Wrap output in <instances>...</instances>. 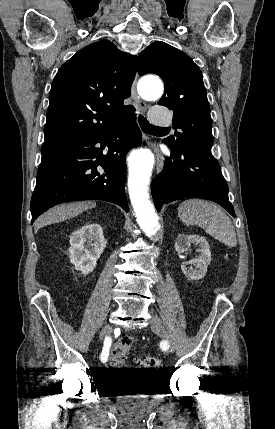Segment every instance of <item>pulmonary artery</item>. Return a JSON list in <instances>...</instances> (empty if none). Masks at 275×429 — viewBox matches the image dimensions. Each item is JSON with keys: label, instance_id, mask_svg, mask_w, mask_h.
Returning a JSON list of instances; mask_svg holds the SVG:
<instances>
[{"label": "pulmonary artery", "instance_id": "1", "mask_svg": "<svg viewBox=\"0 0 275 429\" xmlns=\"http://www.w3.org/2000/svg\"><path fill=\"white\" fill-rule=\"evenodd\" d=\"M149 118L155 126H169L171 124L170 115L160 107L153 108L150 111Z\"/></svg>", "mask_w": 275, "mask_h": 429}]
</instances>
